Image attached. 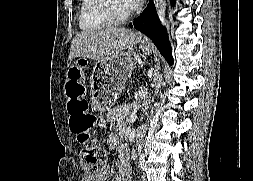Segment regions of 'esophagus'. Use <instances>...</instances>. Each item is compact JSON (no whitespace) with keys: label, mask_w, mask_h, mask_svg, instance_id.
Segmentation results:
<instances>
[{"label":"esophagus","mask_w":253,"mask_h":181,"mask_svg":"<svg viewBox=\"0 0 253 181\" xmlns=\"http://www.w3.org/2000/svg\"><path fill=\"white\" fill-rule=\"evenodd\" d=\"M139 38H142V34H138ZM145 39V38H144Z\"/></svg>","instance_id":"obj_1"}]
</instances>
